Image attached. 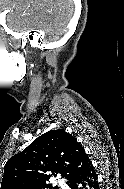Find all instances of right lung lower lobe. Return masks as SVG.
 <instances>
[{
	"instance_id": "1",
	"label": "right lung lower lobe",
	"mask_w": 124,
	"mask_h": 189,
	"mask_svg": "<svg viewBox=\"0 0 124 189\" xmlns=\"http://www.w3.org/2000/svg\"><path fill=\"white\" fill-rule=\"evenodd\" d=\"M67 180L71 189H100L97 174L91 162L82 171Z\"/></svg>"
}]
</instances>
